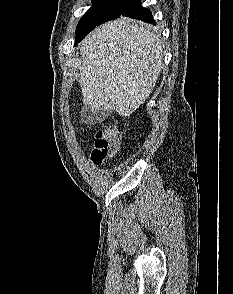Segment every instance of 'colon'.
<instances>
[{"label": "colon", "instance_id": "obj_1", "mask_svg": "<svg viewBox=\"0 0 233 294\" xmlns=\"http://www.w3.org/2000/svg\"><path fill=\"white\" fill-rule=\"evenodd\" d=\"M116 134L114 126H107L95 133L94 148L91 153L93 163L101 164L107 157L116 153L118 150Z\"/></svg>", "mask_w": 233, "mask_h": 294}]
</instances>
